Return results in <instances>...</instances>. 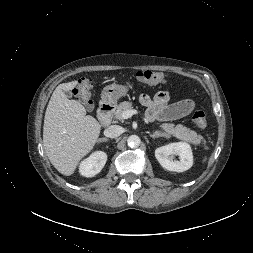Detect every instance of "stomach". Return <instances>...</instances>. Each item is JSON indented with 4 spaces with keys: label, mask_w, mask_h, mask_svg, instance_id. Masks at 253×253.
Wrapping results in <instances>:
<instances>
[{
    "label": "stomach",
    "mask_w": 253,
    "mask_h": 253,
    "mask_svg": "<svg viewBox=\"0 0 253 253\" xmlns=\"http://www.w3.org/2000/svg\"><path fill=\"white\" fill-rule=\"evenodd\" d=\"M127 91L126 86L111 84L104 87L101 98L104 103L115 104L121 97L126 95Z\"/></svg>",
    "instance_id": "0dacf381"
}]
</instances>
